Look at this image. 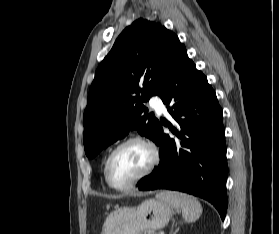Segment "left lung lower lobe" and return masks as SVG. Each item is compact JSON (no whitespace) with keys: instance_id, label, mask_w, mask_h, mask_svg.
Instances as JSON below:
<instances>
[{"instance_id":"1","label":"left lung lower lobe","mask_w":279,"mask_h":234,"mask_svg":"<svg viewBox=\"0 0 279 234\" xmlns=\"http://www.w3.org/2000/svg\"><path fill=\"white\" fill-rule=\"evenodd\" d=\"M158 95L177 122L159 123L155 143L160 146V164L142 178L139 190L171 189L206 199L222 220L227 211L225 130L222 109L206 76L196 69L182 47ZM169 127L176 138L163 134Z\"/></svg>"}]
</instances>
